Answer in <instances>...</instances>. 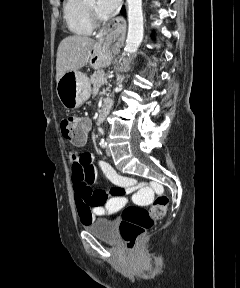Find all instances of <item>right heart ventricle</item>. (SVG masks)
<instances>
[{"mask_svg": "<svg viewBox=\"0 0 240 288\" xmlns=\"http://www.w3.org/2000/svg\"><path fill=\"white\" fill-rule=\"evenodd\" d=\"M64 18L68 29L76 35H89L93 32L94 26L86 0H65Z\"/></svg>", "mask_w": 240, "mask_h": 288, "instance_id": "1", "label": "right heart ventricle"}]
</instances>
